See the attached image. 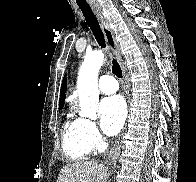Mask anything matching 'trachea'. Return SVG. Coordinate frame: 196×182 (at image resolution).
I'll return each mask as SVG.
<instances>
[{"mask_svg":"<svg viewBox=\"0 0 196 182\" xmlns=\"http://www.w3.org/2000/svg\"><path fill=\"white\" fill-rule=\"evenodd\" d=\"M80 9L85 17L87 25L90 27L94 37L96 38L98 44L102 47L105 48V39H104V34L99 26L98 20L93 14L92 10L90 7H82L80 6ZM112 71L113 73L118 77H122V70L119 65V63L113 59L112 60Z\"/></svg>","mask_w":196,"mask_h":182,"instance_id":"obj_1","label":"trachea"}]
</instances>
